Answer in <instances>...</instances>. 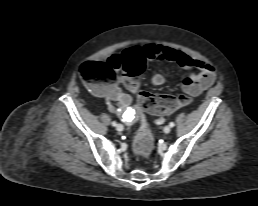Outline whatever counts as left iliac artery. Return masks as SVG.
Here are the masks:
<instances>
[{"mask_svg": "<svg viewBox=\"0 0 258 206\" xmlns=\"http://www.w3.org/2000/svg\"><path fill=\"white\" fill-rule=\"evenodd\" d=\"M170 127H174L175 126V123L174 122H170Z\"/></svg>", "mask_w": 258, "mask_h": 206, "instance_id": "obj_1", "label": "left iliac artery"}]
</instances>
